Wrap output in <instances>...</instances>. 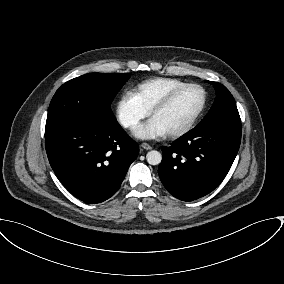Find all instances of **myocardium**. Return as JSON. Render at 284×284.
I'll return each instance as SVG.
<instances>
[{
    "label": "myocardium",
    "mask_w": 284,
    "mask_h": 284,
    "mask_svg": "<svg viewBox=\"0 0 284 284\" xmlns=\"http://www.w3.org/2000/svg\"><path fill=\"white\" fill-rule=\"evenodd\" d=\"M189 88H198L202 92V102L198 110L195 112V114L192 116V118L183 126H181L178 129L171 130L166 133L169 137H180L188 133L197 123L201 115L203 114L206 104H207V91L206 89L197 83H186L185 85H182L174 90H172L169 94H167L162 100H160L150 111V115L153 117L154 114L157 112L167 108L174 100L175 98L182 93L183 91L189 89Z\"/></svg>",
    "instance_id": "1"
}]
</instances>
